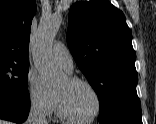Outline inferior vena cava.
Segmentation results:
<instances>
[{
  "label": "inferior vena cava",
  "mask_w": 156,
  "mask_h": 124,
  "mask_svg": "<svg viewBox=\"0 0 156 124\" xmlns=\"http://www.w3.org/2000/svg\"><path fill=\"white\" fill-rule=\"evenodd\" d=\"M26 124H48L46 116L38 103H32Z\"/></svg>",
  "instance_id": "1"
}]
</instances>
